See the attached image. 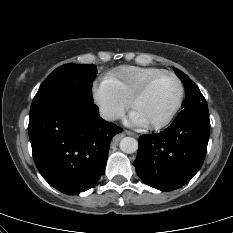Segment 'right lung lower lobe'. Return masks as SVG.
Here are the masks:
<instances>
[{
    "mask_svg": "<svg viewBox=\"0 0 233 233\" xmlns=\"http://www.w3.org/2000/svg\"><path fill=\"white\" fill-rule=\"evenodd\" d=\"M122 129L99 116L94 104L57 105L30 112L35 164L54 188L76 195L105 171L110 141Z\"/></svg>",
    "mask_w": 233,
    "mask_h": 233,
    "instance_id": "right-lung-lower-lobe-1",
    "label": "right lung lower lobe"
}]
</instances>
